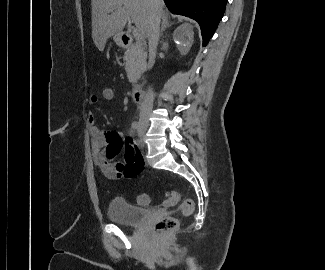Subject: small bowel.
Listing matches in <instances>:
<instances>
[{
  "label": "small bowel",
  "instance_id": "1",
  "mask_svg": "<svg viewBox=\"0 0 325 270\" xmlns=\"http://www.w3.org/2000/svg\"><path fill=\"white\" fill-rule=\"evenodd\" d=\"M98 101L97 95L89 97L91 105ZM87 127L91 138L93 161L106 178L111 180L129 179L142 171L143 161L132 139L124 138L122 132L101 130L92 112L87 116ZM122 146L125 147L126 163L114 162L121 152Z\"/></svg>",
  "mask_w": 325,
  "mask_h": 270
}]
</instances>
